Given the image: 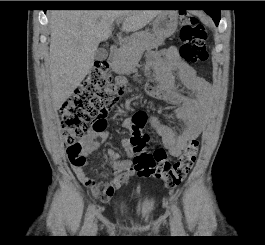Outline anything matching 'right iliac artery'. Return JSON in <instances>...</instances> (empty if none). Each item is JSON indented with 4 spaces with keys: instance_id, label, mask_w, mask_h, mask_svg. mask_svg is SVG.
<instances>
[{
    "instance_id": "right-iliac-artery-1",
    "label": "right iliac artery",
    "mask_w": 265,
    "mask_h": 245,
    "mask_svg": "<svg viewBox=\"0 0 265 245\" xmlns=\"http://www.w3.org/2000/svg\"><path fill=\"white\" fill-rule=\"evenodd\" d=\"M93 208H94L93 205H91L87 212L86 219H85V222L82 228V232L84 235L88 234L91 228V225L94 219Z\"/></svg>"
}]
</instances>
